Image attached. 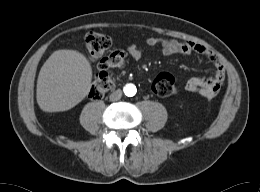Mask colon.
<instances>
[{
	"label": "colon",
	"mask_w": 260,
	"mask_h": 192,
	"mask_svg": "<svg viewBox=\"0 0 260 192\" xmlns=\"http://www.w3.org/2000/svg\"><path fill=\"white\" fill-rule=\"evenodd\" d=\"M85 46L89 58L97 61L99 66V72L93 81L89 97L93 100H99L113 89L115 83L111 72L124 67L125 55L120 51H113L104 56L111 46V39L108 35L100 32H89L85 37ZM152 91L160 97H168L178 92V86L170 73L162 72L154 79Z\"/></svg>",
	"instance_id": "colon-1"
}]
</instances>
